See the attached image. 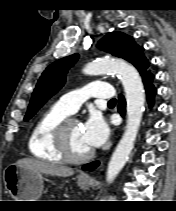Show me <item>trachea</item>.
I'll use <instances>...</instances> for the list:
<instances>
[{
	"label": "trachea",
	"instance_id": "1",
	"mask_svg": "<svg viewBox=\"0 0 176 211\" xmlns=\"http://www.w3.org/2000/svg\"><path fill=\"white\" fill-rule=\"evenodd\" d=\"M109 104H116V99H112L109 101Z\"/></svg>",
	"mask_w": 176,
	"mask_h": 211
}]
</instances>
